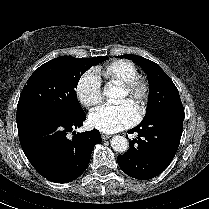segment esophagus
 <instances>
[{"instance_id": "1", "label": "esophagus", "mask_w": 209, "mask_h": 209, "mask_svg": "<svg viewBox=\"0 0 209 209\" xmlns=\"http://www.w3.org/2000/svg\"><path fill=\"white\" fill-rule=\"evenodd\" d=\"M101 137H102L103 140H107V139H109L111 136L102 133V134H101Z\"/></svg>"}]
</instances>
